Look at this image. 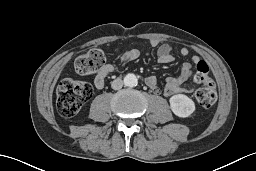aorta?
Listing matches in <instances>:
<instances>
[{
  "mask_svg": "<svg viewBox=\"0 0 256 171\" xmlns=\"http://www.w3.org/2000/svg\"><path fill=\"white\" fill-rule=\"evenodd\" d=\"M124 84L127 87H135L138 84V79L135 74L129 73L124 77Z\"/></svg>",
  "mask_w": 256,
  "mask_h": 171,
  "instance_id": "762f6f07",
  "label": "aorta"
}]
</instances>
